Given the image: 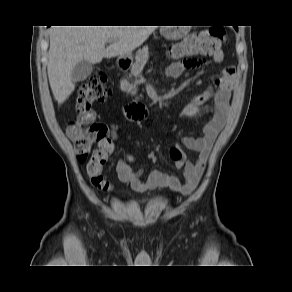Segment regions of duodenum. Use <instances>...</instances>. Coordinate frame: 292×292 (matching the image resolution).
Here are the masks:
<instances>
[{
	"label": "duodenum",
	"instance_id": "410a0bca",
	"mask_svg": "<svg viewBox=\"0 0 292 292\" xmlns=\"http://www.w3.org/2000/svg\"><path fill=\"white\" fill-rule=\"evenodd\" d=\"M118 66L120 70H126L128 68V63L125 60L120 59L118 61ZM129 112L131 113V115L139 116L145 113V109L141 105H132L131 107H129Z\"/></svg>",
	"mask_w": 292,
	"mask_h": 292
}]
</instances>
